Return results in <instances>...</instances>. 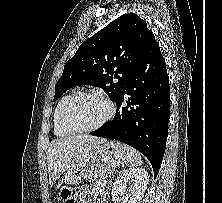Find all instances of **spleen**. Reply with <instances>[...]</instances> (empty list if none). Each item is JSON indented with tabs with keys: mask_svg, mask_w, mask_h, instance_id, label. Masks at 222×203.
<instances>
[{
	"mask_svg": "<svg viewBox=\"0 0 222 203\" xmlns=\"http://www.w3.org/2000/svg\"><path fill=\"white\" fill-rule=\"evenodd\" d=\"M126 156L125 163L128 167H136L142 164L141 154L134 148L125 145Z\"/></svg>",
	"mask_w": 222,
	"mask_h": 203,
	"instance_id": "spleen-1",
	"label": "spleen"
}]
</instances>
